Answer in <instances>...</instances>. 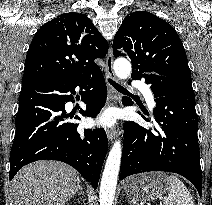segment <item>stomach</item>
Masks as SVG:
<instances>
[{"mask_svg":"<svg viewBox=\"0 0 212 205\" xmlns=\"http://www.w3.org/2000/svg\"><path fill=\"white\" fill-rule=\"evenodd\" d=\"M167 189V176L158 172L132 176L124 184L126 194L133 201H151L161 198Z\"/></svg>","mask_w":212,"mask_h":205,"instance_id":"0dacf381","label":"stomach"}]
</instances>
